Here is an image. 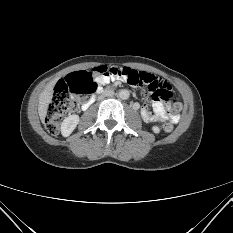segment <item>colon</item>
Instances as JSON below:
<instances>
[{"instance_id":"colon-1","label":"colon","mask_w":233,"mask_h":233,"mask_svg":"<svg viewBox=\"0 0 233 233\" xmlns=\"http://www.w3.org/2000/svg\"><path fill=\"white\" fill-rule=\"evenodd\" d=\"M97 76H119L125 78L126 82L135 87H140L152 93L153 97L171 102V110L177 112L181 106L172 98V88L167 82L156 79L145 72H139L126 67L100 66L94 69ZM96 84L93 74L89 72H75L60 80L54 89L52 100L49 104L45 117V126L49 133H59L60 123L66 113L74 109V103L70 95L76 98H85L95 91ZM162 130L171 132L173 125L163 123Z\"/></svg>"}]
</instances>
